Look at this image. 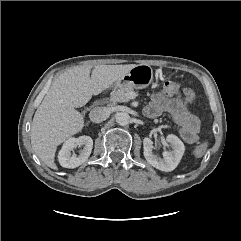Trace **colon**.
<instances>
[{
    "label": "colon",
    "mask_w": 241,
    "mask_h": 241,
    "mask_svg": "<svg viewBox=\"0 0 241 241\" xmlns=\"http://www.w3.org/2000/svg\"><path fill=\"white\" fill-rule=\"evenodd\" d=\"M162 92L167 97L179 96L181 93L180 86L172 81L166 82L163 86ZM207 150V146L205 144H199L194 149V154L197 157H202Z\"/></svg>",
    "instance_id": "obj_1"
}]
</instances>
